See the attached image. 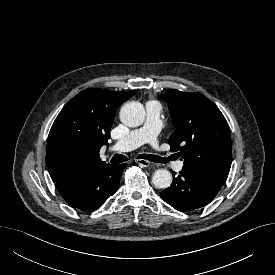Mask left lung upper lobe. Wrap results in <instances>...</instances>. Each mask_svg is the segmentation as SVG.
<instances>
[{
	"mask_svg": "<svg viewBox=\"0 0 275 275\" xmlns=\"http://www.w3.org/2000/svg\"><path fill=\"white\" fill-rule=\"evenodd\" d=\"M175 132L169 138L172 152L184 160V168L226 180L232 162L230 129L218 107L201 93L168 90Z\"/></svg>",
	"mask_w": 275,
	"mask_h": 275,
	"instance_id": "left-lung-upper-lobe-1",
	"label": "left lung upper lobe"
}]
</instances>
